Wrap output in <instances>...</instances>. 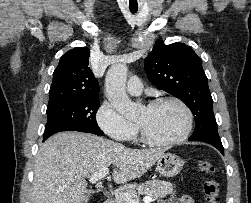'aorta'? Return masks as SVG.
Here are the masks:
<instances>
[{
    "label": "aorta",
    "instance_id": "obj_1",
    "mask_svg": "<svg viewBox=\"0 0 251 203\" xmlns=\"http://www.w3.org/2000/svg\"><path fill=\"white\" fill-rule=\"evenodd\" d=\"M127 72L125 64L112 65L106 74L105 87L112 106L125 118L132 119L138 115L140 106L126 94Z\"/></svg>",
    "mask_w": 251,
    "mask_h": 203
}]
</instances>
